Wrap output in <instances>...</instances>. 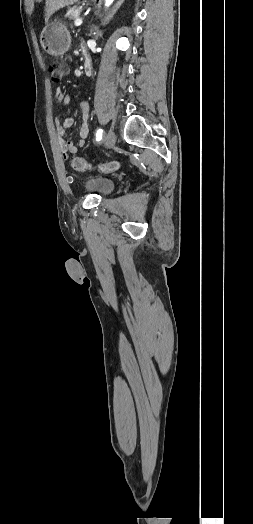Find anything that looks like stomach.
Here are the masks:
<instances>
[{
    "instance_id": "stomach-1",
    "label": "stomach",
    "mask_w": 253,
    "mask_h": 524,
    "mask_svg": "<svg viewBox=\"0 0 253 524\" xmlns=\"http://www.w3.org/2000/svg\"><path fill=\"white\" fill-rule=\"evenodd\" d=\"M40 42L47 53L53 56H61L68 51L71 37L69 30L64 24L59 21H53L43 29Z\"/></svg>"
}]
</instances>
